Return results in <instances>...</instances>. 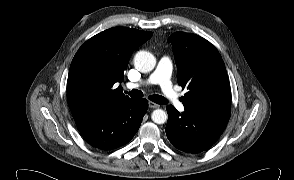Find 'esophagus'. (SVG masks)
Returning <instances> with one entry per match:
<instances>
[{
  "instance_id": "obj_1",
  "label": "esophagus",
  "mask_w": 294,
  "mask_h": 180,
  "mask_svg": "<svg viewBox=\"0 0 294 180\" xmlns=\"http://www.w3.org/2000/svg\"><path fill=\"white\" fill-rule=\"evenodd\" d=\"M149 107L155 109V108H159L160 105H158L157 103H154V102H151V101H150V102H149Z\"/></svg>"
}]
</instances>
